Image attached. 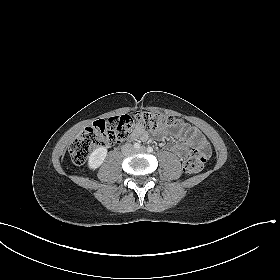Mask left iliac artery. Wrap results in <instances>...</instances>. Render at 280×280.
Segmentation results:
<instances>
[{
	"mask_svg": "<svg viewBox=\"0 0 280 280\" xmlns=\"http://www.w3.org/2000/svg\"><path fill=\"white\" fill-rule=\"evenodd\" d=\"M147 152H149V153L153 152V148L152 147H148L147 148Z\"/></svg>",
	"mask_w": 280,
	"mask_h": 280,
	"instance_id": "obj_1",
	"label": "left iliac artery"
}]
</instances>
